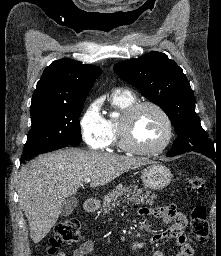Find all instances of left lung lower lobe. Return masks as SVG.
<instances>
[{"label": "left lung lower lobe", "mask_w": 221, "mask_h": 256, "mask_svg": "<svg viewBox=\"0 0 221 256\" xmlns=\"http://www.w3.org/2000/svg\"><path fill=\"white\" fill-rule=\"evenodd\" d=\"M191 151H195L198 153H201L209 158H211L212 160H219V151L215 150L214 148H209V147H202V146H192L189 149H171L168 153L167 156L168 157H173L176 155H180L186 152H191Z\"/></svg>", "instance_id": "obj_1"}]
</instances>
